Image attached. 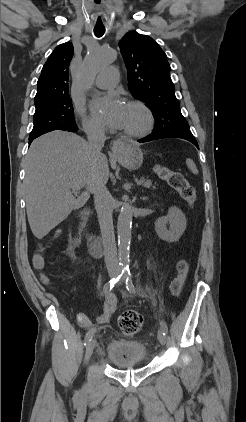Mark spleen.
Masks as SVG:
<instances>
[{
    "label": "spleen",
    "instance_id": "obj_1",
    "mask_svg": "<svg viewBox=\"0 0 246 422\" xmlns=\"http://www.w3.org/2000/svg\"><path fill=\"white\" fill-rule=\"evenodd\" d=\"M187 167L191 170L193 174H198V169L193 160L187 159L186 160Z\"/></svg>",
    "mask_w": 246,
    "mask_h": 422
}]
</instances>
